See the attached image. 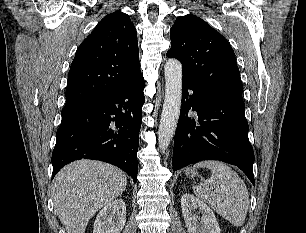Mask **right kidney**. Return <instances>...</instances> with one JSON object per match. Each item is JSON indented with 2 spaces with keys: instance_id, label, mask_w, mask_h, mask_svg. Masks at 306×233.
Segmentation results:
<instances>
[{
  "instance_id": "right-kidney-1",
  "label": "right kidney",
  "mask_w": 306,
  "mask_h": 233,
  "mask_svg": "<svg viewBox=\"0 0 306 233\" xmlns=\"http://www.w3.org/2000/svg\"><path fill=\"white\" fill-rule=\"evenodd\" d=\"M126 222V205L116 199L102 208L94 222L93 233H120Z\"/></svg>"
}]
</instances>
